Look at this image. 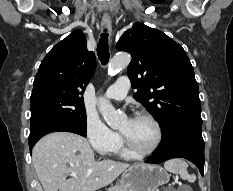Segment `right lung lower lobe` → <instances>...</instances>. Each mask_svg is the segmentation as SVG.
<instances>
[{"mask_svg":"<svg viewBox=\"0 0 233 191\" xmlns=\"http://www.w3.org/2000/svg\"><path fill=\"white\" fill-rule=\"evenodd\" d=\"M56 131H66V132H72L79 134L81 136L86 137V133L81 132L69 125L66 124H54V123H49V124H43L40 125L39 127L30 130V136H29V148L30 151L32 150L33 146L35 143L44 135L51 133V132H56Z\"/></svg>","mask_w":233,"mask_h":191,"instance_id":"obj_1","label":"right lung lower lobe"}]
</instances>
